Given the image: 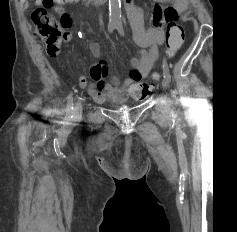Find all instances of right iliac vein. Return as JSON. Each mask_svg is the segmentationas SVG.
<instances>
[{"label": "right iliac vein", "mask_w": 237, "mask_h": 232, "mask_svg": "<svg viewBox=\"0 0 237 232\" xmlns=\"http://www.w3.org/2000/svg\"><path fill=\"white\" fill-rule=\"evenodd\" d=\"M82 116V105L78 102L74 109V119L79 120Z\"/></svg>", "instance_id": "63e3f726"}]
</instances>
